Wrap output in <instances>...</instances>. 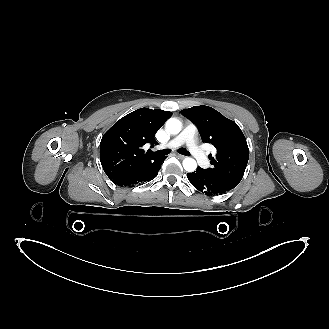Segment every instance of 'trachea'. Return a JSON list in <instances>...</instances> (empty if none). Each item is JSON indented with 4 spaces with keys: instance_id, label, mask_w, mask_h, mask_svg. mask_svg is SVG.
Returning <instances> with one entry per match:
<instances>
[{
    "instance_id": "3493384b",
    "label": "trachea",
    "mask_w": 329,
    "mask_h": 329,
    "mask_svg": "<svg viewBox=\"0 0 329 329\" xmlns=\"http://www.w3.org/2000/svg\"><path fill=\"white\" fill-rule=\"evenodd\" d=\"M169 152H170L169 150L163 149V150L156 151L155 155L165 156V155L169 154ZM178 152L182 155H188L189 154V152L186 149H178Z\"/></svg>"
}]
</instances>
